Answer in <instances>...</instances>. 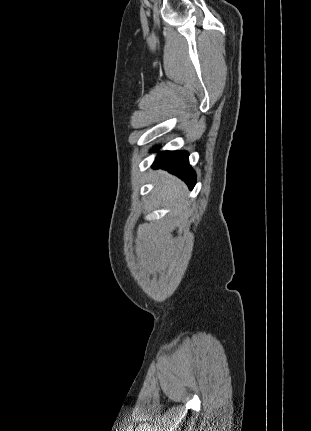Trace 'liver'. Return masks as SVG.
Returning a JSON list of instances; mask_svg holds the SVG:
<instances>
[{
  "instance_id": "liver-1",
  "label": "liver",
  "mask_w": 311,
  "mask_h": 431,
  "mask_svg": "<svg viewBox=\"0 0 311 431\" xmlns=\"http://www.w3.org/2000/svg\"><path fill=\"white\" fill-rule=\"evenodd\" d=\"M157 194L160 200L166 202V204H172V206H179L184 200V192L182 190V184L177 178L169 176L166 172H157Z\"/></svg>"
}]
</instances>
